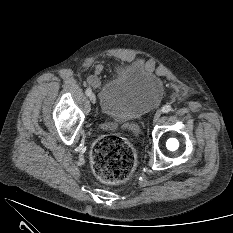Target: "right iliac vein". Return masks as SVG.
I'll return each instance as SVG.
<instances>
[{"label":"right iliac vein","instance_id":"right-iliac-vein-1","mask_svg":"<svg viewBox=\"0 0 233 233\" xmlns=\"http://www.w3.org/2000/svg\"><path fill=\"white\" fill-rule=\"evenodd\" d=\"M89 99L93 104L96 103V96L94 94L89 95Z\"/></svg>","mask_w":233,"mask_h":233}]
</instances>
